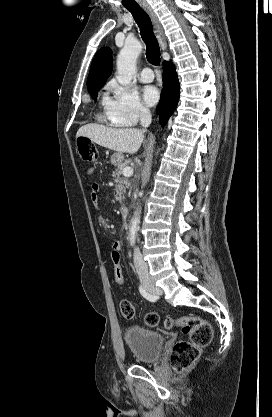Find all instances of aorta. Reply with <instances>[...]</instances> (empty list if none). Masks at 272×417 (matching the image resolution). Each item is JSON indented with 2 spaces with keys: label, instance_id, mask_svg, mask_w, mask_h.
Listing matches in <instances>:
<instances>
[{
  "label": "aorta",
  "instance_id": "aorta-1",
  "mask_svg": "<svg viewBox=\"0 0 272 417\" xmlns=\"http://www.w3.org/2000/svg\"><path fill=\"white\" fill-rule=\"evenodd\" d=\"M142 51V44L137 40H128L117 56V81L128 86L136 71V61ZM139 212L133 218L129 230L130 245L133 246L136 240V234L139 228Z\"/></svg>",
  "mask_w": 272,
  "mask_h": 417
}]
</instances>
